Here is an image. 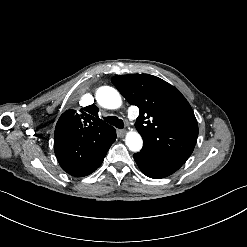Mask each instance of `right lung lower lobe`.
<instances>
[{"label":"right lung lower lobe","instance_id":"98d812e1","mask_svg":"<svg viewBox=\"0 0 247 247\" xmlns=\"http://www.w3.org/2000/svg\"><path fill=\"white\" fill-rule=\"evenodd\" d=\"M106 156V153L98 158L97 160H92L80 165H68L65 167H62V169L64 171H66L67 173H69L72 176H76V177H83V176H87L89 174H91L92 172H94L103 162L104 157Z\"/></svg>","mask_w":247,"mask_h":247}]
</instances>
